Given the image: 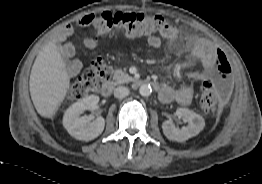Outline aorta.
Listing matches in <instances>:
<instances>
[{"label":"aorta","mask_w":262,"mask_h":184,"mask_svg":"<svg viewBox=\"0 0 262 184\" xmlns=\"http://www.w3.org/2000/svg\"><path fill=\"white\" fill-rule=\"evenodd\" d=\"M151 92H152V88L148 84H143L139 88V93L141 96L147 97L151 94Z\"/></svg>","instance_id":"762f6f07"}]
</instances>
